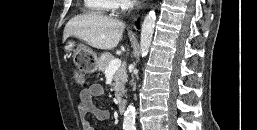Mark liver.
Here are the masks:
<instances>
[{"label": "liver", "mask_w": 257, "mask_h": 130, "mask_svg": "<svg viewBox=\"0 0 257 130\" xmlns=\"http://www.w3.org/2000/svg\"><path fill=\"white\" fill-rule=\"evenodd\" d=\"M124 29L125 24L114 18L95 13L83 14L68 21L63 41L75 36L94 48L110 50L118 45Z\"/></svg>", "instance_id": "liver-1"}]
</instances>
